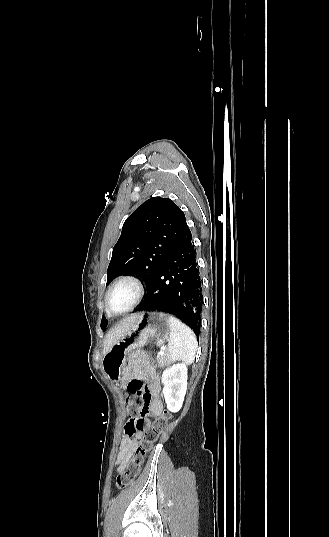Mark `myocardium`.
<instances>
[{"label": "myocardium", "mask_w": 329, "mask_h": 537, "mask_svg": "<svg viewBox=\"0 0 329 537\" xmlns=\"http://www.w3.org/2000/svg\"><path fill=\"white\" fill-rule=\"evenodd\" d=\"M122 283H131V284H133L136 287V290H137V297H136L135 301L133 302V304L127 310H125L123 312H114L110 307V295ZM144 294H145L144 284L142 283V281L138 277H136L134 275H124V276L120 277L119 279H117L109 287V289L107 290L106 295H105L106 310L111 315H115V316L124 315V314L132 311L141 302V300L144 297Z\"/></svg>", "instance_id": "myocardium-1"}]
</instances>
